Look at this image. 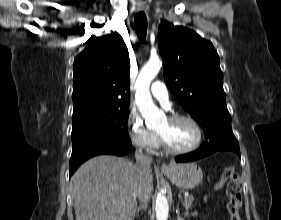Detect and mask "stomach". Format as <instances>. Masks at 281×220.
Returning a JSON list of instances; mask_svg holds the SVG:
<instances>
[{
	"instance_id": "stomach-1",
	"label": "stomach",
	"mask_w": 281,
	"mask_h": 220,
	"mask_svg": "<svg viewBox=\"0 0 281 220\" xmlns=\"http://www.w3.org/2000/svg\"><path fill=\"white\" fill-rule=\"evenodd\" d=\"M163 174L181 189H193L203 179L202 169L196 163H171Z\"/></svg>"
}]
</instances>
